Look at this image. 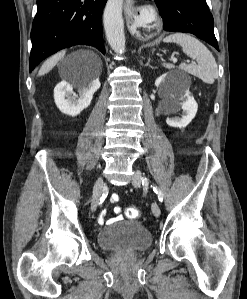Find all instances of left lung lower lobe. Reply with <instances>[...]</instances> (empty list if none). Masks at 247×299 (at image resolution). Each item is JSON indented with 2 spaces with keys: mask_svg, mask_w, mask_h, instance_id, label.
<instances>
[{
  "mask_svg": "<svg viewBox=\"0 0 247 299\" xmlns=\"http://www.w3.org/2000/svg\"><path fill=\"white\" fill-rule=\"evenodd\" d=\"M163 18V28L192 33L219 51L214 22L206 0H155Z\"/></svg>",
  "mask_w": 247,
  "mask_h": 299,
  "instance_id": "0a47b994",
  "label": "left lung lower lobe"
}]
</instances>
